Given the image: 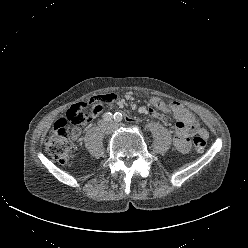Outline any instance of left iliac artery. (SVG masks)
Masks as SVG:
<instances>
[{
  "mask_svg": "<svg viewBox=\"0 0 248 248\" xmlns=\"http://www.w3.org/2000/svg\"><path fill=\"white\" fill-rule=\"evenodd\" d=\"M122 119H123V115H122L121 113L116 112V113L114 114V120H115V121L121 122Z\"/></svg>",
  "mask_w": 248,
  "mask_h": 248,
  "instance_id": "obj_1",
  "label": "left iliac artery"
}]
</instances>
